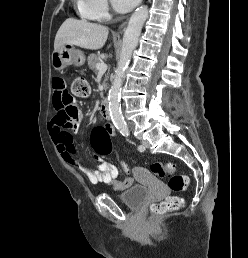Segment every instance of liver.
Returning <instances> with one entry per match:
<instances>
[{
    "label": "liver",
    "mask_w": 248,
    "mask_h": 258,
    "mask_svg": "<svg viewBox=\"0 0 248 258\" xmlns=\"http://www.w3.org/2000/svg\"><path fill=\"white\" fill-rule=\"evenodd\" d=\"M108 34V28L103 25L69 18L63 22L56 34L54 50L58 51L65 44L98 50L104 46Z\"/></svg>",
    "instance_id": "6515ba94"
}]
</instances>
